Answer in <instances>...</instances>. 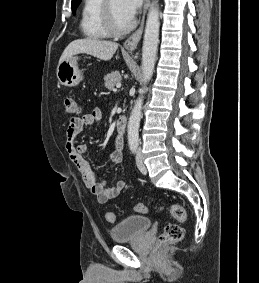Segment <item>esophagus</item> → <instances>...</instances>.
Here are the masks:
<instances>
[{
    "label": "esophagus",
    "instance_id": "34e87169",
    "mask_svg": "<svg viewBox=\"0 0 259 283\" xmlns=\"http://www.w3.org/2000/svg\"><path fill=\"white\" fill-rule=\"evenodd\" d=\"M150 6V0L144 1V10H143V16L140 27L124 42V47L128 51H134L137 48V45L141 39L143 28H144V21L146 12Z\"/></svg>",
    "mask_w": 259,
    "mask_h": 283
}]
</instances>
